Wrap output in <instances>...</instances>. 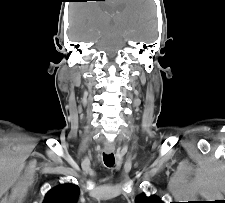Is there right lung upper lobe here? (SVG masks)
<instances>
[{"mask_svg": "<svg viewBox=\"0 0 225 203\" xmlns=\"http://www.w3.org/2000/svg\"><path fill=\"white\" fill-rule=\"evenodd\" d=\"M80 189L73 184L59 185L51 189L43 203H76Z\"/></svg>", "mask_w": 225, "mask_h": 203, "instance_id": "right-lung-upper-lobe-1", "label": "right lung upper lobe"}]
</instances>
